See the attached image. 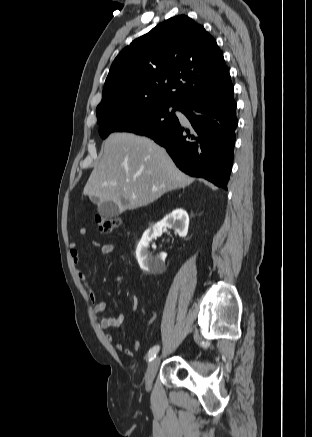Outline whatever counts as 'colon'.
I'll return each mask as SVG.
<instances>
[{
    "instance_id": "5ec220e1",
    "label": "colon",
    "mask_w": 312,
    "mask_h": 437,
    "mask_svg": "<svg viewBox=\"0 0 312 437\" xmlns=\"http://www.w3.org/2000/svg\"><path fill=\"white\" fill-rule=\"evenodd\" d=\"M95 223L100 232L109 233L119 225V218L96 215Z\"/></svg>"
}]
</instances>
